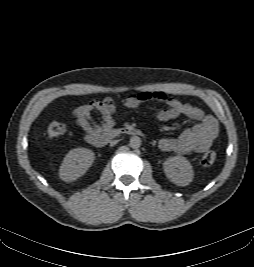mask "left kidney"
<instances>
[{
    "label": "left kidney",
    "mask_w": 254,
    "mask_h": 267,
    "mask_svg": "<svg viewBox=\"0 0 254 267\" xmlns=\"http://www.w3.org/2000/svg\"><path fill=\"white\" fill-rule=\"evenodd\" d=\"M163 168L167 178L174 184L187 186L193 180L192 165L185 157H170L163 163Z\"/></svg>",
    "instance_id": "1"
}]
</instances>
